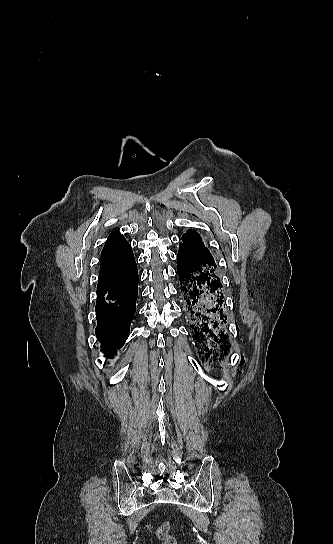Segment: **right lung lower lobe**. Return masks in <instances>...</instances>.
I'll use <instances>...</instances> for the list:
<instances>
[{"label": "right lung lower lobe", "mask_w": 333, "mask_h": 544, "mask_svg": "<svg viewBox=\"0 0 333 544\" xmlns=\"http://www.w3.org/2000/svg\"><path fill=\"white\" fill-rule=\"evenodd\" d=\"M138 296V271L134 262L115 279L97 286L95 333L102 352L113 357L128 338Z\"/></svg>", "instance_id": "right-lung-lower-lobe-1"}]
</instances>
